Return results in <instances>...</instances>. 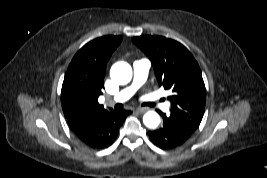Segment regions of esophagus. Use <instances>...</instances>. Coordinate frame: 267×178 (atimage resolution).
Returning <instances> with one entry per match:
<instances>
[{
	"instance_id": "obj_1",
	"label": "esophagus",
	"mask_w": 267,
	"mask_h": 178,
	"mask_svg": "<svg viewBox=\"0 0 267 178\" xmlns=\"http://www.w3.org/2000/svg\"><path fill=\"white\" fill-rule=\"evenodd\" d=\"M136 111L139 112V113H144V112L148 111V108H145V107H138V108L136 109Z\"/></svg>"
}]
</instances>
